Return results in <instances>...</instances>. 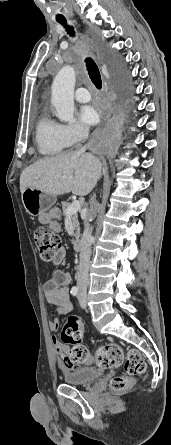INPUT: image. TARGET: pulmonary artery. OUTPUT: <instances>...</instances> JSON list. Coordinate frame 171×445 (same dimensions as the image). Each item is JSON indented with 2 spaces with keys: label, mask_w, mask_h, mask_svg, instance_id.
Here are the masks:
<instances>
[{
  "label": "pulmonary artery",
  "mask_w": 171,
  "mask_h": 445,
  "mask_svg": "<svg viewBox=\"0 0 171 445\" xmlns=\"http://www.w3.org/2000/svg\"><path fill=\"white\" fill-rule=\"evenodd\" d=\"M75 99L78 102L86 103V102L90 101L91 95L86 88L80 87L75 92Z\"/></svg>",
  "instance_id": "e3ab8cb5"
}]
</instances>
